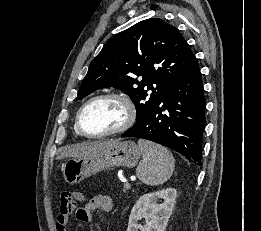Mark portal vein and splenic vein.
Returning <instances> with one entry per match:
<instances>
[{
  "mask_svg": "<svg viewBox=\"0 0 261 231\" xmlns=\"http://www.w3.org/2000/svg\"><path fill=\"white\" fill-rule=\"evenodd\" d=\"M125 185H126V186H130V184H129L128 182H126V181H125Z\"/></svg>",
  "mask_w": 261,
  "mask_h": 231,
  "instance_id": "portal-vein-and-splenic-vein-1",
  "label": "portal vein and splenic vein"
}]
</instances>
